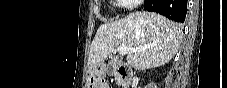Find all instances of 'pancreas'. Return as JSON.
Segmentation results:
<instances>
[{
    "mask_svg": "<svg viewBox=\"0 0 227 88\" xmlns=\"http://www.w3.org/2000/svg\"><path fill=\"white\" fill-rule=\"evenodd\" d=\"M117 83L119 84L120 83V79L117 77Z\"/></svg>",
    "mask_w": 227,
    "mask_h": 88,
    "instance_id": "obj_1",
    "label": "pancreas"
}]
</instances>
